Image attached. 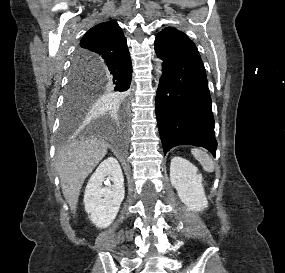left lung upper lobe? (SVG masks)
<instances>
[{
  "mask_svg": "<svg viewBox=\"0 0 285 273\" xmlns=\"http://www.w3.org/2000/svg\"><path fill=\"white\" fill-rule=\"evenodd\" d=\"M169 30L179 31V30H177V29H175V28L168 27V28L163 29L161 32H163V31H169Z\"/></svg>",
  "mask_w": 285,
  "mask_h": 273,
  "instance_id": "obj_1",
  "label": "left lung upper lobe"
}]
</instances>
